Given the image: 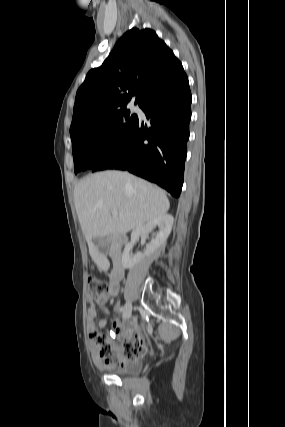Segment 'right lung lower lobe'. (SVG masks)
I'll use <instances>...</instances> for the list:
<instances>
[{"mask_svg": "<svg viewBox=\"0 0 285 427\" xmlns=\"http://www.w3.org/2000/svg\"><path fill=\"white\" fill-rule=\"evenodd\" d=\"M192 97L183 67L153 86L140 108L150 119H138L123 143L92 171L127 170L179 197L189 139Z\"/></svg>", "mask_w": 285, "mask_h": 427, "instance_id": "98d812e1", "label": "right lung lower lobe"}]
</instances>
